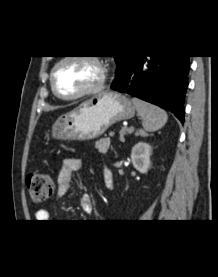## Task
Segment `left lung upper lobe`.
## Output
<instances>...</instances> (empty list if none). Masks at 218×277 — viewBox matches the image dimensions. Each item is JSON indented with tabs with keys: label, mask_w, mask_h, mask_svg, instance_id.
I'll use <instances>...</instances> for the list:
<instances>
[{
	"label": "left lung upper lobe",
	"mask_w": 218,
	"mask_h": 277,
	"mask_svg": "<svg viewBox=\"0 0 218 277\" xmlns=\"http://www.w3.org/2000/svg\"><path fill=\"white\" fill-rule=\"evenodd\" d=\"M132 56H114L117 63L116 75L124 70L126 64L131 59Z\"/></svg>",
	"instance_id": "1"
}]
</instances>
